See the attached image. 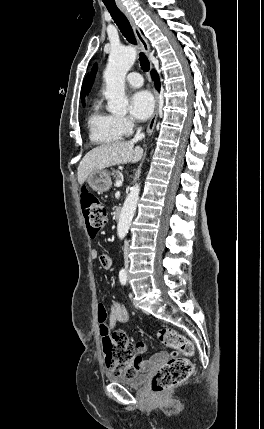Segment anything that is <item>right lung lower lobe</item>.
Listing matches in <instances>:
<instances>
[{"label":"right lung lower lobe","instance_id":"1","mask_svg":"<svg viewBox=\"0 0 264 429\" xmlns=\"http://www.w3.org/2000/svg\"><path fill=\"white\" fill-rule=\"evenodd\" d=\"M151 73H152V77H153V79H154V81L156 83V88L158 90H160V82H159V76H158V74L154 70Z\"/></svg>","mask_w":264,"mask_h":429}]
</instances>
